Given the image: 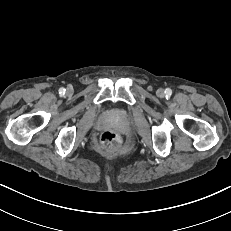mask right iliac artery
<instances>
[{
  "mask_svg": "<svg viewBox=\"0 0 231 231\" xmlns=\"http://www.w3.org/2000/svg\"><path fill=\"white\" fill-rule=\"evenodd\" d=\"M65 91H66V90H65V88H63V87H62V88H60V89H59V94H61V95H62V94H64V93H65Z\"/></svg>",
  "mask_w": 231,
  "mask_h": 231,
  "instance_id": "82829eb1",
  "label": "right iliac artery"
}]
</instances>
